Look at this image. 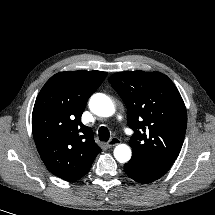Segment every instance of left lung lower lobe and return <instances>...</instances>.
<instances>
[{
	"mask_svg": "<svg viewBox=\"0 0 215 215\" xmlns=\"http://www.w3.org/2000/svg\"><path fill=\"white\" fill-rule=\"evenodd\" d=\"M124 170L130 178L139 183H151L161 177L158 175L147 173L129 163H126L124 165Z\"/></svg>",
	"mask_w": 215,
	"mask_h": 215,
	"instance_id": "1",
	"label": "left lung lower lobe"
}]
</instances>
